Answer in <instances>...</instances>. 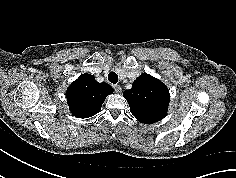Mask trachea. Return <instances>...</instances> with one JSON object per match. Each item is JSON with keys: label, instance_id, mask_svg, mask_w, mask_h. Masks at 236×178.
Masks as SVG:
<instances>
[{"label": "trachea", "instance_id": "obj_1", "mask_svg": "<svg viewBox=\"0 0 236 178\" xmlns=\"http://www.w3.org/2000/svg\"><path fill=\"white\" fill-rule=\"evenodd\" d=\"M108 80L111 83L116 84L118 82V75L115 72H110L108 74Z\"/></svg>", "mask_w": 236, "mask_h": 178}]
</instances>
